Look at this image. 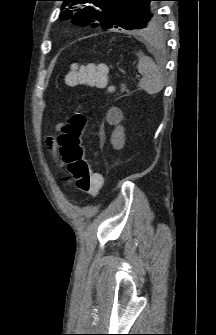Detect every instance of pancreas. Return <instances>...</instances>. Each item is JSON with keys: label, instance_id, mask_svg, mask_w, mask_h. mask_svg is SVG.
<instances>
[{"label": "pancreas", "instance_id": "obj_1", "mask_svg": "<svg viewBox=\"0 0 216 335\" xmlns=\"http://www.w3.org/2000/svg\"><path fill=\"white\" fill-rule=\"evenodd\" d=\"M124 91L129 92L128 89H126L125 84H122L121 85V92H124Z\"/></svg>", "mask_w": 216, "mask_h": 335}]
</instances>
